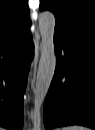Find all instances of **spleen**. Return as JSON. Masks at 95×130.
I'll list each match as a JSON object with an SVG mask.
<instances>
[{
  "label": "spleen",
  "mask_w": 95,
  "mask_h": 130,
  "mask_svg": "<svg viewBox=\"0 0 95 130\" xmlns=\"http://www.w3.org/2000/svg\"><path fill=\"white\" fill-rule=\"evenodd\" d=\"M64 130H88V129L83 126H68L65 127Z\"/></svg>",
  "instance_id": "obj_1"
}]
</instances>
